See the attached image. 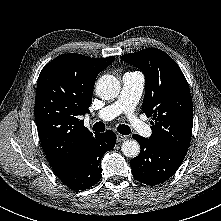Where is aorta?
I'll list each match as a JSON object with an SVG mask.
<instances>
[{"instance_id": "762f6f07", "label": "aorta", "mask_w": 221, "mask_h": 221, "mask_svg": "<svg viewBox=\"0 0 221 221\" xmlns=\"http://www.w3.org/2000/svg\"><path fill=\"white\" fill-rule=\"evenodd\" d=\"M120 88L119 80L113 75H103L96 83L97 94L104 100L116 98ZM121 150L126 157L134 158L140 152V145L136 140L130 139L123 142Z\"/></svg>"}]
</instances>
